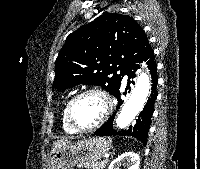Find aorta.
<instances>
[{
	"instance_id": "aorta-1",
	"label": "aorta",
	"mask_w": 200,
	"mask_h": 169,
	"mask_svg": "<svg viewBox=\"0 0 200 169\" xmlns=\"http://www.w3.org/2000/svg\"><path fill=\"white\" fill-rule=\"evenodd\" d=\"M151 80L147 72H141L138 76L134 89L130 98L123 105L120 114L116 119V126L119 129H125L133 121V119L143 109L150 93Z\"/></svg>"
}]
</instances>
